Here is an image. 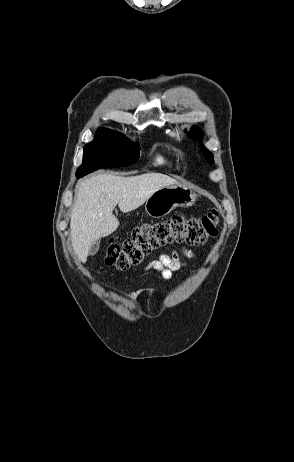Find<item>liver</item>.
<instances>
[{
    "instance_id": "6515ba94",
    "label": "liver",
    "mask_w": 294,
    "mask_h": 462,
    "mask_svg": "<svg viewBox=\"0 0 294 462\" xmlns=\"http://www.w3.org/2000/svg\"><path fill=\"white\" fill-rule=\"evenodd\" d=\"M177 184V180L161 173L131 177L102 173L83 180L70 220L72 246L80 261L86 262L93 243L118 228L119 221L113 215L116 205L123 213L133 211L158 189Z\"/></svg>"
}]
</instances>
